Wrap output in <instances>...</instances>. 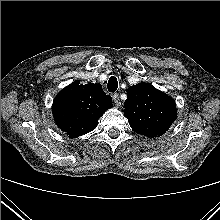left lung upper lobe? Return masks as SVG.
Instances as JSON below:
<instances>
[{"mask_svg":"<svg viewBox=\"0 0 220 220\" xmlns=\"http://www.w3.org/2000/svg\"><path fill=\"white\" fill-rule=\"evenodd\" d=\"M124 115L136 133L154 138L164 134L175 121L176 105L171 97L143 82L127 91Z\"/></svg>","mask_w":220,"mask_h":220,"instance_id":"obj_1","label":"left lung upper lobe"}]
</instances>
